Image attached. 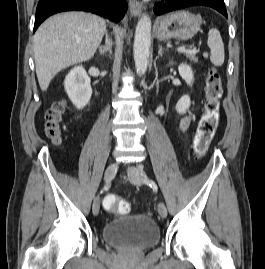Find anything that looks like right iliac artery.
I'll return each mask as SVG.
<instances>
[{"label": "right iliac artery", "mask_w": 265, "mask_h": 269, "mask_svg": "<svg viewBox=\"0 0 265 269\" xmlns=\"http://www.w3.org/2000/svg\"><path fill=\"white\" fill-rule=\"evenodd\" d=\"M109 186H110V184L107 183V184L103 187V190H108V189H109Z\"/></svg>", "instance_id": "1"}]
</instances>
